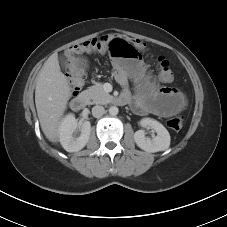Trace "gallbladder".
Returning a JSON list of instances; mask_svg holds the SVG:
<instances>
[{"label": "gallbladder", "instance_id": "bac80fb5", "mask_svg": "<svg viewBox=\"0 0 227 227\" xmlns=\"http://www.w3.org/2000/svg\"><path fill=\"white\" fill-rule=\"evenodd\" d=\"M59 59H60L61 65L64 66V67L66 68L67 63H66L65 58H64L63 56H61Z\"/></svg>", "mask_w": 227, "mask_h": 227}]
</instances>
